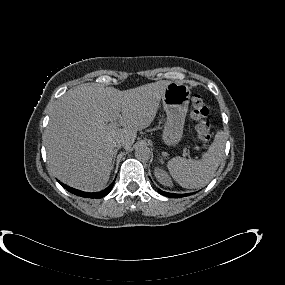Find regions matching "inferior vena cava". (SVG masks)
<instances>
[{
    "mask_svg": "<svg viewBox=\"0 0 285 285\" xmlns=\"http://www.w3.org/2000/svg\"><path fill=\"white\" fill-rule=\"evenodd\" d=\"M124 145H125V141L121 140V139L116 140L115 143H114V147H116V148H120V147H122Z\"/></svg>",
    "mask_w": 285,
    "mask_h": 285,
    "instance_id": "inferior-vena-cava-1",
    "label": "inferior vena cava"
}]
</instances>
